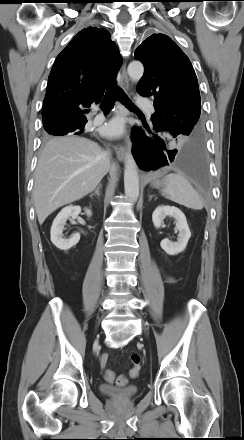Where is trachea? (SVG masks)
<instances>
[{"label": "trachea", "mask_w": 244, "mask_h": 440, "mask_svg": "<svg viewBox=\"0 0 244 440\" xmlns=\"http://www.w3.org/2000/svg\"><path fill=\"white\" fill-rule=\"evenodd\" d=\"M116 99L129 108H136L122 89L114 87L107 90L101 103V109L108 112L114 106Z\"/></svg>", "instance_id": "3493384b"}]
</instances>
